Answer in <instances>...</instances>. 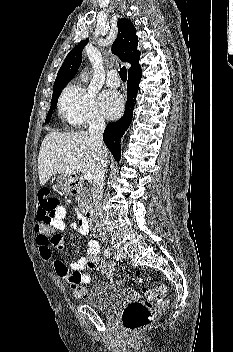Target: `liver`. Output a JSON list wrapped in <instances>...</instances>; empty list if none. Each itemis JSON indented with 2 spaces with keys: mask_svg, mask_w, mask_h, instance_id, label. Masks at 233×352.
Here are the masks:
<instances>
[{
  "mask_svg": "<svg viewBox=\"0 0 233 352\" xmlns=\"http://www.w3.org/2000/svg\"><path fill=\"white\" fill-rule=\"evenodd\" d=\"M97 161V146L87 132H51L43 139L39 151L40 185H45L57 173L71 176L82 171L93 175Z\"/></svg>",
  "mask_w": 233,
  "mask_h": 352,
  "instance_id": "6515ba94",
  "label": "liver"
}]
</instances>
